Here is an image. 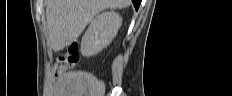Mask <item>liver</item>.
<instances>
[{"instance_id": "liver-1", "label": "liver", "mask_w": 232, "mask_h": 96, "mask_svg": "<svg viewBox=\"0 0 232 96\" xmlns=\"http://www.w3.org/2000/svg\"><path fill=\"white\" fill-rule=\"evenodd\" d=\"M131 0H47L50 46L60 51L76 41L87 24L104 9H122Z\"/></svg>"}]
</instances>
